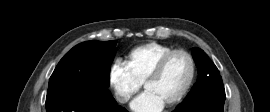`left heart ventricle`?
<instances>
[{
	"label": "left heart ventricle",
	"mask_w": 270,
	"mask_h": 112,
	"mask_svg": "<svg viewBox=\"0 0 270 112\" xmlns=\"http://www.w3.org/2000/svg\"><path fill=\"white\" fill-rule=\"evenodd\" d=\"M189 75L188 58L183 54H176L168 60L161 75L146 85L145 91L153 93L166 105L182 91Z\"/></svg>",
	"instance_id": "left-heart-ventricle-1"
}]
</instances>
